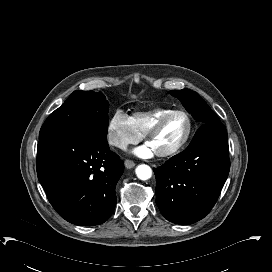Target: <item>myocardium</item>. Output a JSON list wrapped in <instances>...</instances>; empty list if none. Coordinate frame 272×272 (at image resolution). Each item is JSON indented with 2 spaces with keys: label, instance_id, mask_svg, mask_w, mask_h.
Listing matches in <instances>:
<instances>
[{
  "label": "myocardium",
  "instance_id": "1",
  "mask_svg": "<svg viewBox=\"0 0 272 272\" xmlns=\"http://www.w3.org/2000/svg\"><path fill=\"white\" fill-rule=\"evenodd\" d=\"M178 115L183 116L186 120V123H187L186 134H185L183 140L175 148L168 150V151L156 153V155L158 157L165 158V157L175 156L188 143V141L191 137L192 131H193V123H192V120H191L189 114L182 111V110H174V111L168 112L166 114H163L145 132V137H146L147 141H149V139L153 135H155L169 119H171L174 116H178Z\"/></svg>",
  "mask_w": 272,
  "mask_h": 272
}]
</instances>
